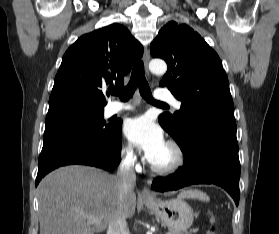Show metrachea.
I'll list each match as a JSON object with an SVG mask.
<instances>
[{"label": "trachea", "mask_w": 279, "mask_h": 234, "mask_svg": "<svg viewBox=\"0 0 279 234\" xmlns=\"http://www.w3.org/2000/svg\"><path fill=\"white\" fill-rule=\"evenodd\" d=\"M139 88L141 96L149 103L154 105L167 106L164 103L154 100L149 87V84L144 74V64L139 61L132 70L131 78L128 85L123 89H112L110 93L119 96L122 101H128L134 94L135 90Z\"/></svg>", "instance_id": "3493384b"}]
</instances>
